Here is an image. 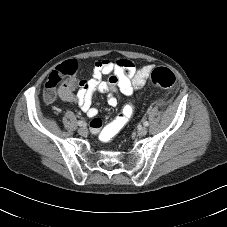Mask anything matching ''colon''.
<instances>
[{"label": "colon", "mask_w": 227, "mask_h": 227, "mask_svg": "<svg viewBox=\"0 0 227 227\" xmlns=\"http://www.w3.org/2000/svg\"><path fill=\"white\" fill-rule=\"evenodd\" d=\"M77 64L69 61L60 69H55L48 76L45 86L44 96L47 100L55 98V88L59 84H70L75 79L77 73ZM150 81L154 87L170 88L176 82V76L172 70L166 67H159L152 71ZM135 113V105L127 104L122 112L116 117L114 122L100 135L104 141H109L131 120ZM91 126H95L91 124Z\"/></svg>", "instance_id": "colon-1"}]
</instances>
